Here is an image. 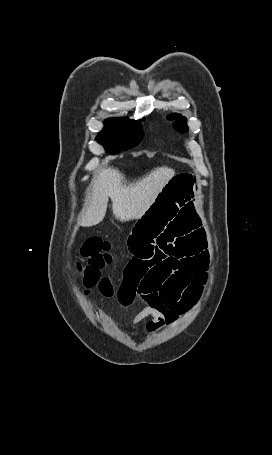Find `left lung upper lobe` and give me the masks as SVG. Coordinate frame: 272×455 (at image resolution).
Masks as SVG:
<instances>
[{"label": "left lung upper lobe", "mask_w": 272, "mask_h": 455, "mask_svg": "<svg viewBox=\"0 0 272 455\" xmlns=\"http://www.w3.org/2000/svg\"><path fill=\"white\" fill-rule=\"evenodd\" d=\"M181 117V115L179 114H172V115H169L168 116V119H175V118H179ZM174 127L177 131L179 132H187L188 129L186 127V120L185 118H180L178 119L177 121L174 122Z\"/></svg>", "instance_id": "1"}]
</instances>
